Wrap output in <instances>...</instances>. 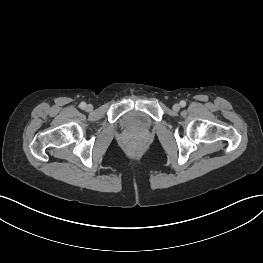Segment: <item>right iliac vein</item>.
<instances>
[{"instance_id": "right-iliac-vein-1", "label": "right iliac vein", "mask_w": 263, "mask_h": 263, "mask_svg": "<svg viewBox=\"0 0 263 263\" xmlns=\"http://www.w3.org/2000/svg\"><path fill=\"white\" fill-rule=\"evenodd\" d=\"M86 110L87 111H92L93 110V106L91 104L86 106Z\"/></svg>"}]
</instances>
